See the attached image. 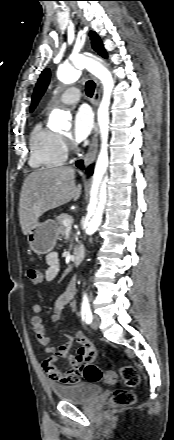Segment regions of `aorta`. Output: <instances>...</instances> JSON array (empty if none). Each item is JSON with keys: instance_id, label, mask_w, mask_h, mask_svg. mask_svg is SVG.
<instances>
[{"instance_id": "obj_1", "label": "aorta", "mask_w": 174, "mask_h": 440, "mask_svg": "<svg viewBox=\"0 0 174 440\" xmlns=\"http://www.w3.org/2000/svg\"><path fill=\"white\" fill-rule=\"evenodd\" d=\"M81 64L79 61L66 62L60 69V78L65 82L76 81L80 74ZM108 100H104L98 111V121L102 133V149L97 161L94 174L92 194L88 205V214L85 220V232L88 235L94 234L103 216V211L107 201V132L109 124ZM69 113L60 109H54L49 117V128L51 130H69L71 123L69 122Z\"/></svg>"}]
</instances>
